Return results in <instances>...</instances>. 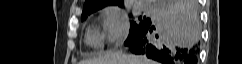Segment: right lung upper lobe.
I'll use <instances>...</instances> for the list:
<instances>
[{"mask_svg":"<svg viewBox=\"0 0 242 64\" xmlns=\"http://www.w3.org/2000/svg\"><path fill=\"white\" fill-rule=\"evenodd\" d=\"M106 5H119L123 7V0H86L82 14L92 13Z\"/></svg>","mask_w":242,"mask_h":64,"instance_id":"cb5924a9","label":"right lung upper lobe"}]
</instances>
